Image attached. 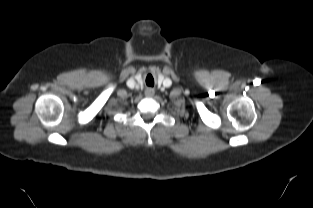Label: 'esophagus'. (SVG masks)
<instances>
[{"label": "esophagus", "instance_id": "obj_1", "mask_svg": "<svg viewBox=\"0 0 313 208\" xmlns=\"http://www.w3.org/2000/svg\"><path fill=\"white\" fill-rule=\"evenodd\" d=\"M145 95H146L147 97L153 96V95H154V90H153L152 88H147V89L145 90Z\"/></svg>", "mask_w": 313, "mask_h": 208}]
</instances>
